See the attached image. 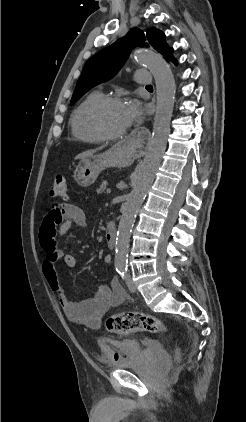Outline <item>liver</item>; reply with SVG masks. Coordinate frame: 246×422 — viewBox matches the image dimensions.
I'll use <instances>...</instances> for the list:
<instances>
[{
    "label": "liver",
    "instance_id": "6515ba94",
    "mask_svg": "<svg viewBox=\"0 0 246 422\" xmlns=\"http://www.w3.org/2000/svg\"><path fill=\"white\" fill-rule=\"evenodd\" d=\"M101 149H102V147L97 148V149H92V150H88V151L82 152V153L78 154V155L75 157V159H85V158H87V157L92 156L95 152H97V151H99V150H101Z\"/></svg>",
    "mask_w": 246,
    "mask_h": 422
}]
</instances>
